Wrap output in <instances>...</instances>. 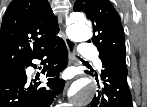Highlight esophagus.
<instances>
[{"instance_id":"34e87169","label":"esophagus","mask_w":147,"mask_h":107,"mask_svg":"<svg viewBox=\"0 0 147 107\" xmlns=\"http://www.w3.org/2000/svg\"><path fill=\"white\" fill-rule=\"evenodd\" d=\"M64 40H65L67 49H68L69 54H70V59L73 60V55L76 52V43L74 41H72L71 39L67 38V37L64 38Z\"/></svg>"}]
</instances>
